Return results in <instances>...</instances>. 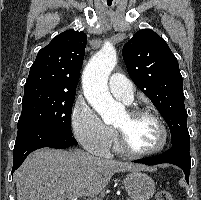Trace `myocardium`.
Listing matches in <instances>:
<instances>
[{
	"mask_svg": "<svg viewBox=\"0 0 201 200\" xmlns=\"http://www.w3.org/2000/svg\"><path fill=\"white\" fill-rule=\"evenodd\" d=\"M127 113L132 119L140 117V116H149L153 118L157 122L161 130L162 138L159 145L156 146L155 148L145 150V151H139L134 149L129 144L124 131L122 129L116 128V132L118 136V144L121 150L129 155H133L137 157L151 156L163 151L168 144L169 132L162 117L157 112L149 108L140 107V106L132 107L131 109L128 110Z\"/></svg>",
	"mask_w": 201,
	"mask_h": 200,
	"instance_id": "myocardium-1",
	"label": "myocardium"
}]
</instances>
